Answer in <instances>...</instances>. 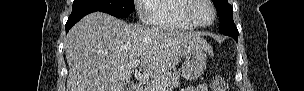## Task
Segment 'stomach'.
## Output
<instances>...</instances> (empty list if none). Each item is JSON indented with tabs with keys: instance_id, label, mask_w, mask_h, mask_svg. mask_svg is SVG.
Here are the masks:
<instances>
[{
	"instance_id": "0dacf381",
	"label": "stomach",
	"mask_w": 304,
	"mask_h": 91,
	"mask_svg": "<svg viewBox=\"0 0 304 91\" xmlns=\"http://www.w3.org/2000/svg\"><path fill=\"white\" fill-rule=\"evenodd\" d=\"M211 51H206L202 48H192L184 56L185 62L182 67V76L187 80H193L199 77L206 68L207 55L206 53Z\"/></svg>"
}]
</instances>
